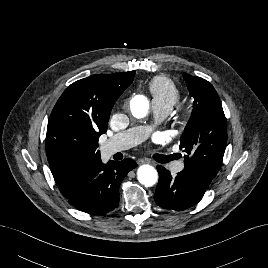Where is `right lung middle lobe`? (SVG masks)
Wrapping results in <instances>:
<instances>
[{
  "mask_svg": "<svg viewBox=\"0 0 268 268\" xmlns=\"http://www.w3.org/2000/svg\"><path fill=\"white\" fill-rule=\"evenodd\" d=\"M98 139L70 134H57L46 141L47 159L51 169L73 171L90 163L96 154Z\"/></svg>",
  "mask_w": 268,
  "mask_h": 268,
  "instance_id": "1",
  "label": "right lung middle lobe"
}]
</instances>
